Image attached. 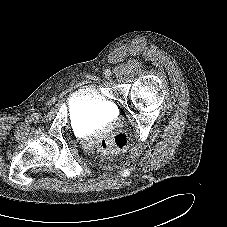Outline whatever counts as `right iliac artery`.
<instances>
[{
    "label": "right iliac artery",
    "mask_w": 227,
    "mask_h": 227,
    "mask_svg": "<svg viewBox=\"0 0 227 227\" xmlns=\"http://www.w3.org/2000/svg\"><path fill=\"white\" fill-rule=\"evenodd\" d=\"M25 121H26V122H30L31 119H30L29 117H27V118L25 119Z\"/></svg>",
    "instance_id": "82829eb1"
}]
</instances>
